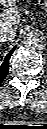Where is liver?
I'll return each instance as SVG.
<instances>
[{"mask_svg":"<svg viewBox=\"0 0 47 129\" xmlns=\"http://www.w3.org/2000/svg\"><path fill=\"white\" fill-rule=\"evenodd\" d=\"M17 0H0V4L7 7L0 13V29L4 26L13 28L15 31L20 23V13L16 7Z\"/></svg>","mask_w":47,"mask_h":129,"instance_id":"obj_1","label":"liver"}]
</instances>
